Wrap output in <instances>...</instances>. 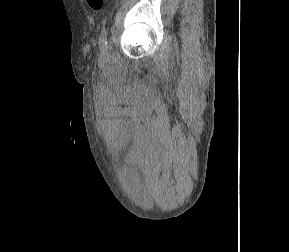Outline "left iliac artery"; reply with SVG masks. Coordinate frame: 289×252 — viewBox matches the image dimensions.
<instances>
[{
    "instance_id": "left-iliac-artery-1",
    "label": "left iliac artery",
    "mask_w": 289,
    "mask_h": 252,
    "mask_svg": "<svg viewBox=\"0 0 289 252\" xmlns=\"http://www.w3.org/2000/svg\"><path fill=\"white\" fill-rule=\"evenodd\" d=\"M107 36H108V30L107 28L104 27L99 36V44L103 48L107 47Z\"/></svg>"
}]
</instances>
